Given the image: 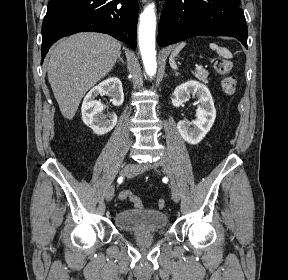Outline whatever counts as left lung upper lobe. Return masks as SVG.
Wrapping results in <instances>:
<instances>
[{
  "mask_svg": "<svg viewBox=\"0 0 288 280\" xmlns=\"http://www.w3.org/2000/svg\"><path fill=\"white\" fill-rule=\"evenodd\" d=\"M235 2H237L238 4H240V0H234Z\"/></svg>",
  "mask_w": 288,
  "mask_h": 280,
  "instance_id": "left-lung-upper-lobe-1",
  "label": "left lung upper lobe"
}]
</instances>
